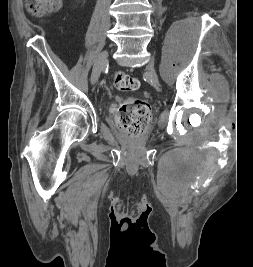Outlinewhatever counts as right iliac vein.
<instances>
[{"mask_svg": "<svg viewBox=\"0 0 253 267\" xmlns=\"http://www.w3.org/2000/svg\"><path fill=\"white\" fill-rule=\"evenodd\" d=\"M107 60H108V51L101 52L96 58L91 76V81L93 84H95L98 81L101 71L106 66Z\"/></svg>", "mask_w": 253, "mask_h": 267, "instance_id": "63e3f726", "label": "right iliac vein"}]
</instances>
